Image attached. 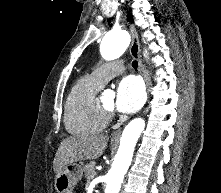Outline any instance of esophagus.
<instances>
[{"instance_id": "obj_1", "label": "esophagus", "mask_w": 221, "mask_h": 193, "mask_svg": "<svg viewBox=\"0 0 221 193\" xmlns=\"http://www.w3.org/2000/svg\"><path fill=\"white\" fill-rule=\"evenodd\" d=\"M130 34H131L130 54L132 55L133 58H135L138 61L139 71L145 80L147 88H149L148 79L144 71L141 56H140V44H139L138 34L133 25L130 26ZM120 136H121V129H118L113 132L112 139H119Z\"/></svg>"}]
</instances>
